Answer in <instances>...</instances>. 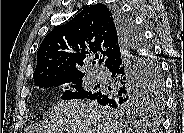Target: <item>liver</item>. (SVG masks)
Wrapping results in <instances>:
<instances>
[{
	"mask_svg": "<svg viewBox=\"0 0 184 133\" xmlns=\"http://www.w3.org/2000/svg\"><path fill=\"white\" fill-rule=\"evenodd\" d=\"M44 133H132L94 103L84 100L58 101L51 109Z\"/></svg>",
	"mask_w": 184,
	"mask_h": 133,
	"instance_id": "liver-1",
	"label": "liver"
}]
</instances>
